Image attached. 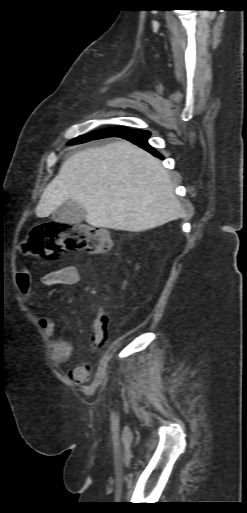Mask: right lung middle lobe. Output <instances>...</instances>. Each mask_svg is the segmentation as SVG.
Here are the masks:
<instances>
[{
    "mask_svg": "<svg viewBox=\"0 0 247 513\" xmlns=\"http://www.w3.org/2000/svg\"><path fill=\"white\" fill-rule=\"evenodd\" d=\"M124 130H126V129L118 128V129H114V130L97 131V132L90 133L87 135L79 136L76 139H74L72 142L79 141V143H84V142H88V141L95 140V139L106 138V137L118 134Z\"/></svg>",
    "mask_w": 247,
    "mask_h": 513,
    "instance_id": "obj_1",
    "label": "right lung middle lobe"
}]
</instances>
